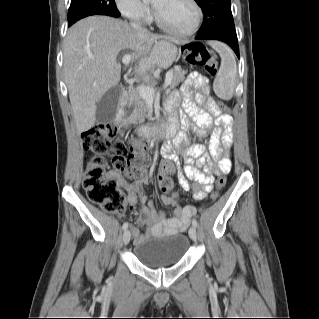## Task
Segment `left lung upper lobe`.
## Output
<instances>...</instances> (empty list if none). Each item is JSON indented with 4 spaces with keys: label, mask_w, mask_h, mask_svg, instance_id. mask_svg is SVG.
I'll list each match as a JSON object with an SVG mask.
<instances>
[{
    "label": "left lung upper lobe",
    "mask_w": 319,
    "mask_h": 319,
    "mask_svg": "<svg viewBox=\"0 0 319 319\" xmlns=\"http://www.w3.org/2000/svg\"><path fill=\"white\" fill-rule=\"evenodd\" d=\"M204 14V21L197 35L199 38L211 36L237 37L230 0H195Z\"/></svg>",
    "instance_id": "obj_1"
}]
</instances>
